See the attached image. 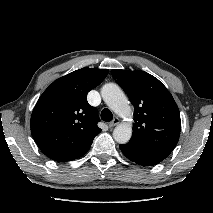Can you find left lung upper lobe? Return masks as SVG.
Segmentation results:
<instances>
[{
  "label": "left lung upper lobe",
  "mask_w": 213,
  "mask_h": 213,
  "mask_svg": "<svg viewBox=\"0 0 213 213\" xmlns=\"http://www.w3.org/2000/svg\"><path fill=\"white\" fill-rule=\"evenodd\" d=\"M111 74L134 106L135 123L128 144L165 158L169 156L181 129L180 112L170 92L144 71L115 69Z\"/></svg>",
  "instance_id": "left-lung-upper-lobe-1"
}]
</instances>
